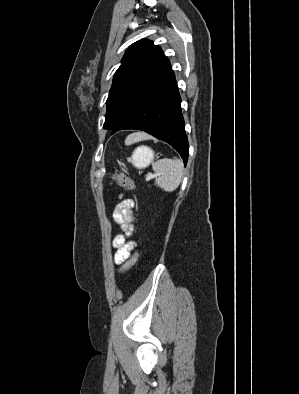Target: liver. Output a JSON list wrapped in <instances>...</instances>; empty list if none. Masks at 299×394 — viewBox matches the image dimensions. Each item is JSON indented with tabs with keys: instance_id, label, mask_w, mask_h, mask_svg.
Segmentation results:
<instances>
[{
	"instance_id": "liver-1",
	"label": "liver",
	"mask_w": 299,
	"mask_h": 394,
	"mask_svg": "<svg viewBox=\"0 0 299 394\" xmlns=\"http://www.w3.org/2000/svg\"><path fill=\"white\" fill-rule=\"evenodd\" d=\"M148 136L145 133H135L133 135H130L126 139V144H132L140 139L147 138Z\"/></svg>"
}]
</instances>
